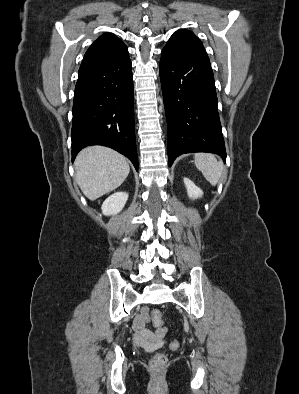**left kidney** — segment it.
Masks as SVG:
<instances>
[{"label":"left kidney","mask_w":299,"mask_h":394,"mask_svg":"<svg viewBox=\"0 0 299 394\" xmlns=\"http://www.w3.org/2000/svg\"><path fill=\"white\" fill-rule=\"evenodd\" d=\"M183 180H184V184L187 189V194H188L189 198L194 200L199 197H202L203 191L199 187H197L193 181H191L188 178H184Z\"/></svg>","instance_id":"obj_1"}]
</instances>
